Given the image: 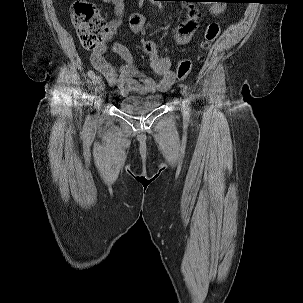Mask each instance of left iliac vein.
<instances>
[{"label": "left iliac vein", "instance_id": "1", "mask_svg": "<svg viewBox=\"0 0 303 303\" xmlns=\"http://www.w3.org/2000/svg\"><path fill=\"white\" fill-rule=\"evenodd\" d=\"M182 109H183L184 115L187 116L189 114L188 105L184 103L183 106H182Z\"/></svg>", "mask_w": 303, "mask_h": 303}]
</instances>
